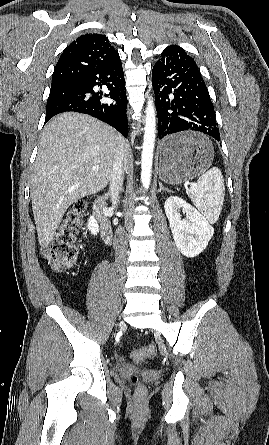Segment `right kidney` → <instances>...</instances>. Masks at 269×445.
<instances>
[{
	"label": "right kidney",
	"instance_id": "ca27d5eb",
	"mask_svg": "<svg viewBox=\"0 0 269 445\" xmlns=\"http://www.w3.org/2000/svg\"><path fill=\"white\" fill-rule=\"evenodd\" d=\"M88 229L92 235H97L99 233V225L93 216H90L88 220Z\"/></svg>",
	"mask_w": 269,
	"mask_h": 445
}]
</instances>
